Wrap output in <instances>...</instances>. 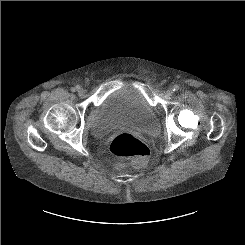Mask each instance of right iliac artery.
I'll use <instances>...</instances> for the list:
<instances>
[{
	"mask_svg": "<svg viewBox=\"0 0 245 245\" xmlns=\"http://www.w3.org/2000/svg\"><path fill=\"white\" fill-rule=\"evenodd\" d=\"M80 87L79 86H76L74 88L71 89L72 92H75L77 89H79Z\"/></svg>",
	"mask_w": 245,
	"mask_h": 245,
	"instance_id": "obj_1",
	"label": "right iliac artery"
}]
</instances>
